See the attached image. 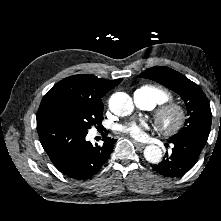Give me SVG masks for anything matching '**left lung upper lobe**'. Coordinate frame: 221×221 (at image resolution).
<instances>
[{
  "mask_svg": "<svg viewBox=\"0 0 221 221\" xmlns=\"http://www.w3.org/2000/svg\"><path fill=\"white\" fill-rule=\"evenodd\" d=\"M142 78L154 80L181 96L187 105L185 126L173 137H180L197 131H210L212 114L210 104L201 88L183 74L164 66L146 69Z\"/></svg>",
  "mask_w": 221,
  "mask_h": 221,
  "instance_id": "1",
  "label": "left lung upper lobe"
}]
</instances>
